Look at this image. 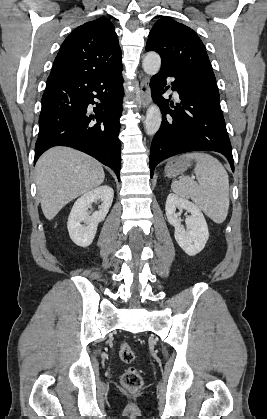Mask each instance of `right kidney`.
Here are the masks:
<instances>
[{
    "mask_svg": "<svg viewBox=\"0 0 267 419\" xmlns=\"http://www.w3.org/2000/svg\"><path fill=\"white\" fill-rule=\"evenodd\" d=\"M114 191L110 186L97 187L76 200L70 212L67 228L72 241L81 247L89 246L96 235L97 226L103 220L113 201ZM101 200L102 204L99 210L95 211L91 216L87 210L93 202ZM85 222L87 225H82Z\"/></svg>",
    "mask_w": 267,
    "mask_h": 419,
    "instance_id": "ca27d5eb",
    "label": "right kidney"
}]
</instances>
